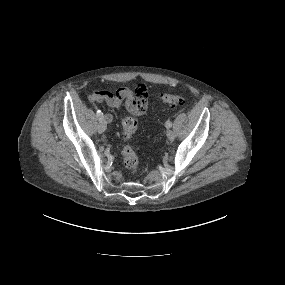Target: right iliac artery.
Returning a JSON list of instances; mask_svg holds the SVG:
<instances>
[{"label":"right iliac artery","instance_id":"1","mask_svg":"<svg viewBox=\"0 0 285 285\" xmlns=\"http://www.w3.org/2000/svg\"><path fill=\"white\" fill-rule=\"evenodd\" d=\"M96 115H97L99 120H103L104 116H103V113L100 110H97Z\"/></svg>","mask_w":285,"mask_h":285}]
</instances>
